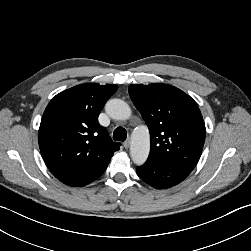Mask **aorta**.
Listing matches in <instances>:
<instances>
[{
    "instance_id": "1",
    "label": "aorta",
    "mask_w": 251,
    "mask_h": 251,
    "mask_svg": "<svg viewBox=\"0 0 251 251\" xmlns=\"http://www.w3.org/2000/svg\"><path fill=\"white\" fill-rule=\"evenodd\" d=\"M106 113L113 119L126 120L131 116L129 105L121 99H111L106 103ZM150 151V135L146 126L135 128L131 137L130 155L136 165H142Z\"/></svg>"
}]
</instances>
